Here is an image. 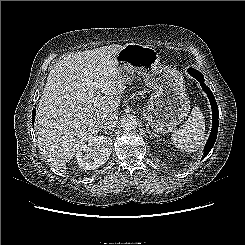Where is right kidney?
Instances as JSON below:
<instances>
[{
	"mask_svg": "<svg viewBox=\"0 0 245 245\" xmlns=\"http://www.w3.org/2000/svg\"><path fill=\"white\" fill-rule=\"evenodd\" d=\"M112 140L106 136H94L88 144L83 145L76 153L79 167L94 170L108 161L112 152Z\"/></svg>",
	"mask_w": 245,
	"mask_h": 245,
	"instance_id": "1",
	"label": "right kidney"
}]
</instances>
